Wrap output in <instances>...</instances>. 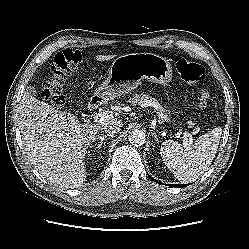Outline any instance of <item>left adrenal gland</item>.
I'll list each match as a JSON object with an SVG mask.
<instances>
[{"instance_id": "1", "label": "left adrenal gland", "mask_w": 249, "mask_h": 249, "mask_svg": "<svg viewBox=\"0 0 249 249\" xmlns=\"http://www.w3.org/2000/svg\"><path fill=\"white\" fill-rule=\"evenodd\" d=\"M153 135H154V137L156 139L157 144H159V139H158L157 135L155 133H153Z\"/></svg>"}]
</instances>
